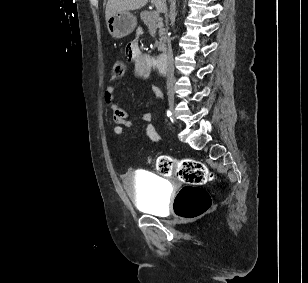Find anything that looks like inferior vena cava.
Wrapping results in <instances>:
<instances>
[{
	"label": "inferior vena cava",
	"instance_id": "inferior-vena-cava-1",
	"mask_svg": "<svg viewBox=\"0 0 308 283\" xmlns=\"http://www.w3.org/2000/svg\"><path fill=\"white\" fill-rule=\"evenodd\" d=\"M163 11L164 12L167 11L166 6L164 7ZM169 42L173 43L174 39L170 38ZM167 66H168L167 87L170 88L172 86L173 82H174L173 55H172L171 46H169V49H168V63H167Z\"/></svg>",
	"mask_w": 308,
	"mask_h": 283
}]
</instances>
